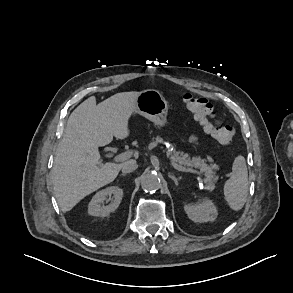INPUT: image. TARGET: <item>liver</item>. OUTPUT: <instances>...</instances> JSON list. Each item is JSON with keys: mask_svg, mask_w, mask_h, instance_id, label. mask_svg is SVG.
<instances>
[{"mask_svg": "<svg viewBox=\"0 0 293 293\" xmlns=\"http://www.w3.org/2000/svg\"><path fill=\"white\" fill-rule=\"evenodd\" d=\"M138 95L117 93L98 105L96 98L90 97L69 116L51 171L54 195L62 212L70 211L117 177L122 164L101 163L99 147L111 143L113 137L129 136L128 122L136 111Z\"/></svg>", "mask_w": 293, "mask_h": 293, "instance_id": "liver-1", "label": "liver"}]
</instances>
